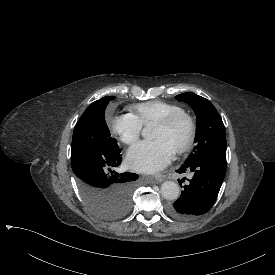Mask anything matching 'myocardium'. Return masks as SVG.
I'll return each mask as SVG.
<instances>
[{
  "instance_id": "1",
  "label": "myocardium",
  "mask_w": 275,
  "mask_h": 275,
  "mask_svg": "<svg viewBox=\"0 0 275 275\" xmlns=\"http://www.w3.org/2000/svg\"><path fill=\"white\" fill-rule=\"evenodd\" d=\"M180 122L186 124V133L184 139L174 148V151L178 154L188 151L194 143L196 136V124L194 119L186 112H179L158 122V126L168 131H172Z\"/></svg>"
}]
</instances>
